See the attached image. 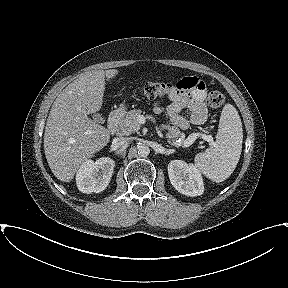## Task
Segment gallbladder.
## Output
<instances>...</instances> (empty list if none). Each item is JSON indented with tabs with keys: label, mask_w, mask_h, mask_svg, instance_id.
Returning a JSON list of instances; mask_svg holds the SVG:
<instances>
[{
	"label": "gallbladder",
	"mask_w": 288,
	"mask_h": 288,
	"mask_svg": "<svg viewBox=\"0 0 288 288\" xmlns=\"http://www.w3.org/2000/svg\"><path fill=\"white\" fill-rule=\"evenodd\" d=\"M93 119L95 122L97 123H104V118L99 114V113H95L92 115Z\"/></svg>",
	"instance_id": "obj_1"
}]
</instances>
